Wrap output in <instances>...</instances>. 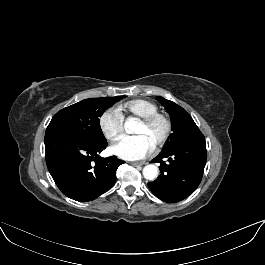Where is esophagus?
<instances>
[{"mask_svg":"<svg viewBox=\"0 0 265 265\" xmlns=\"http://www.w3.org/2000/svg\"><path fill=\"white\" fill-rule=\"evenodd\" d=\"M130 164L133 165V166H141V165H144L145 162H144V161H140V162H131Z\"/></svg>","mask_w":265,"mask_h":265,"instance_id":"1","label":"esophagus"}]
</instances>
